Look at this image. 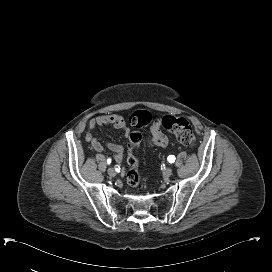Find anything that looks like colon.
<instances>
[{
	"label": "colon",
	"instance_id": "1",
	"mask_svg": "<svg viewBox=\"0 0 272 272\" xmlns=\"http://www.w3.org/2000/svg\"><path fill=\"white\" fill-rule=\"evenodd\" d=\"M150 117L144 113H133L129 117V124L134 128H142L145 126ZM161 126L169 131L176 139L186 146H192L195 142V135L189 122L182 117L165 116L161 120ZM142 140V135L139 132L133 131L129 134V150H135ZM128 163L130 169L127 172V182L132 187H137L141 182V176L136 169L137 158L130 152Z\"/></svg>",
	"mask_w": 272,
	"mask_h": 272
}]
</instances>
